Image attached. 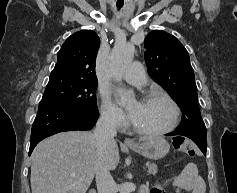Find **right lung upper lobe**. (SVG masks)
Instances as JSON below:
<instances>
[{
  "mask_svg": "<svg viewBox=\"0 0 237 193\" xmlns=\"http://www.w3.org/2000/svg\"><path fill=\"white\" fill-rule=\"evenodd\" d=\"M99 45V37L92 30L74 33L67 38L58 52V61L51 75L97 80L95 60Z\"/></svg>",
  "mask_w": 237,
  "mask_h": 193,
  "instance_id": "right-lung-upper-lobe-1",
  "label": "right lung upper lobe"
}]
</instances>
